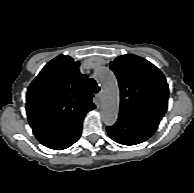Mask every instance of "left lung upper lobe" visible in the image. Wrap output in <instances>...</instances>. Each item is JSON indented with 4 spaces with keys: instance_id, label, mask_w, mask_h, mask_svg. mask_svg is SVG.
Returning <instances> with one entry per match:
<instances>
[{
    "instance_id": "5c2ea615",
    "label": "left lung upper lobe",
    "mask_w": 194,
    "mask_h": 193,
    "mask_svg": "<svg viewBox=\"0 0 194 193\" xmlns=\"http://www.w3.org/2000/svg\"><path fill=\"white\" fill-rule=\"evenodd\" d=\"M120 87V114L158 126L167 110L169 89L162 72L146 59L122 55L110 63Z\"/></svg>"
}]
</instances>
